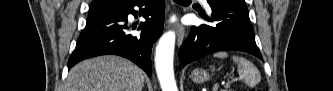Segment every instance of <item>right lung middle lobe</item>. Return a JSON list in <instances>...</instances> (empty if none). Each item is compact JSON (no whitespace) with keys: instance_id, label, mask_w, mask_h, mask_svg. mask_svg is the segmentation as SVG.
Wrapping results in <instances>:
<instances>
[{"instance_id":"obj_1","label":"right lung middle lobe","mask_w":333,"mask_h":91,"mask_svg":"<svg viewBox=\"0 0 333 91\" xmlns=\"http://www.w3.org/2000/svg\"><path fill=\"white\" fill-rule=\"evenodd\" d=\"M121 5V3H112V4H110V6L111 7H115V6H120ZM100 8H102V6L101 5H96V4H93V6H92V9H100Z\"/></svg>"}]
</instances>
